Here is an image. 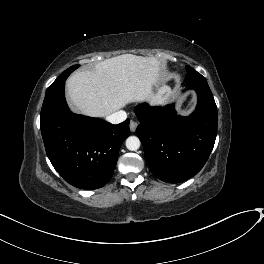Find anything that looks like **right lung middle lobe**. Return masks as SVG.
I'll list each match as a JSON object with an SVG mask.
<instances>
[{"label":"right lung middle lobe","mask_w":264,"mask_h":264,"mask_svg":"<svg viewBox=\"0 0 264 264\" xmlns=\"http://www.w3.org/2000/svg\"><path fill=\"white\" fill-rule=\"evenodd\" d=\"M79 65L71 66L70 68L66 69L63 73H61L57 79L48 87L47 91L52 90L53 88L57 87L61 83H63L67 77L70 75L71 72H73L75 69H77ZM46 91V92H47Z\"/></svg>","instance_id":"1"}]
</instances>
